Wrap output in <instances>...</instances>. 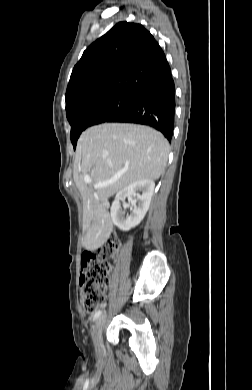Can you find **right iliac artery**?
Here are the masks:
<instances>
[{"instance_id": "82829eb1", "label": "right iliac artery", "mask_w": 252, "mask_h": 390, "mask_svg": "<svg viewBox=\"0 0 252 390\" xmlns=\"http://www.w3.org/2000/svg\"><path fill=\"white\" fill-rule=\"evenodd\" d=\"M101 314H102V311H101V310L97 311V312L95 313V315H94V319H97Z\"/></svg>"}]
</instances>
